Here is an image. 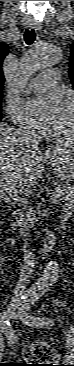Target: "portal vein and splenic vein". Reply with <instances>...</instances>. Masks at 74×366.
I'll list each match as a JSON object with an SVG mask.
<instances>
[{
    "mask_svg": "<svg viewBox=\"0 0 74 366\" xmlns=\"http://www.w3.org/2000/svg\"><path fill=\"white\" fill-rule=\"evenodd\" d=\"M58 197H59V195H53V196H51V197H50V200H51L53 203H55V202H57Z\"/></svg>",
    "mask_w": 74,
    "mask_h": 366,
    "instance_id": "portal-vein-and-splenic-vein-1",
    "label": "portal vein and splenic vein"
}]
</instances>
